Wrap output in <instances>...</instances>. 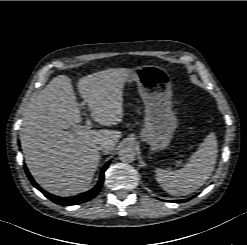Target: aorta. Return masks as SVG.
<instances>
[{"label":"aorta","instance_id":"aorta-1","mask_svg":"<svg viewBox=\"0 0 247 245\" xmlns=\"http://www.w3.org/2000/svg\"><path fill=\"white\" fill-rule=\"evenodd\" d=\"M119 159L125 163H131L135 160L136 151L131 145L123 146L118 153Z\"/></svg>","mask_w":247,"mask_h":245}]
</instances>
